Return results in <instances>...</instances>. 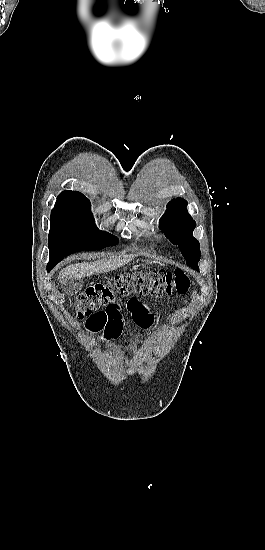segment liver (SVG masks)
Segmentation results:
<instances>
[{
    "mask_svg": "<svg viewBox=\"0 0 265 550\" xmlns=\"http://www.w3.org/2000/svg\"><path fill=\"white\" fill-rule=\"evenodd\" d=\"M135 257L136 255H124L71 264L59 272L58 279L62 284H65L72 279H82L93 274L107 273L131 262Z\"/></svg>",
    "mask_w": 265,
    "mask_h": 550,
    "instance_id": "liver-1",
    "label": "liver"
}]
</instances>
